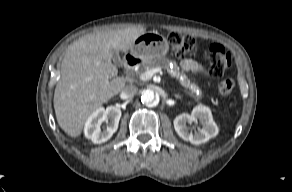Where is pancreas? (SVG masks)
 <instances>
[{
	"mask_svg": "<svg viewBox=\"0 0 292 192\" xmlns=\"http://www.w3.org/2000/svg\"><path fill=\"white\" fill-rule=\"evenodd\" d=\"M170 64H172L173 67H170ZM157 67L166 69L171 77L179 80V83L184 88L190 91L191 96H193L196 99L200 98L202 94L200 88L196 84L191 83L188 77L183 72L180 71V68L178 67L176 62H172L167 58H160V59H156V60H152L150 62L144 63L139 73H143L147 70H151Z\"/></svg>",
	"mask_w": 292,
	"mask_h": 192,
	"instance_id": "cf45deb5",
	"label": "pancreas"
}]
</instances>
